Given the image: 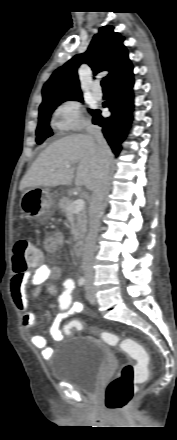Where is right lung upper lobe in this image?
I'll list each match as a JSON object with an SVG mask.
<instances>
[{
	"instance_id": "cb5924a9",
	"label": "right lung upper lobe",
	"mask_w": 177,
	"mask_h": 440,
	"mask_svg": "<svg viewBox=\"0 0 177 440\" xmlns=\"http://www.w3.org/2000/svg\"><path fill=\"white\" fill-rule=\"evenodd\" d=\"M123 41L124 37L114 32L113 26L101 27L99 33L93 37L88 50L83 54H77L59 67L44 84L41 104L82 96L77 73L82 63H87L94 75L108 71L105 79L108 83L113 80L132 65Z\"/></svg>"
}]
</instances>
